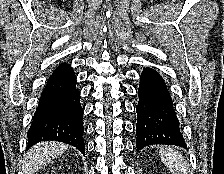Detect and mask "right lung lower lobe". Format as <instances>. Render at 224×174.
Returning <instances> with one entry per match:
<instances>
[{"mask_svg":"<svg viewBox=\"0 0 224 174\" xmlns=\"http://www.w3.org/2000/svg\"><path fill=\"white\" fill-rule=\"evenodd\" d=\"M83 109L73 69L61 63L49 77L27 133V149L41 141L67 143L85 154Z\"/></svg>","mask_w":224,"mask_h":174,"instance_id":"98d812e1","label":"right lung lower lobe"}]
</instances>
